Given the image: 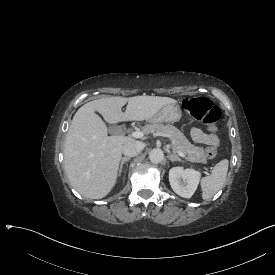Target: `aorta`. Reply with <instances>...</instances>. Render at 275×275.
<instances>
[{
    "label": "aorta",
    "instance_id": "obj_1",
    "mask_svg": "<svg viewBox=\"0 0 275 275\" xmlns=\"http://www.w3.org/2000/svg\"><path fill=\"white\" fill-rule=\"evenodd\" d=\"M150 160L154 163H159L164 158V152L160 148H153L149 154Z\"/></svg>",
    "mask_w": 275,
    "mask_h": 275
}]
</instances>
